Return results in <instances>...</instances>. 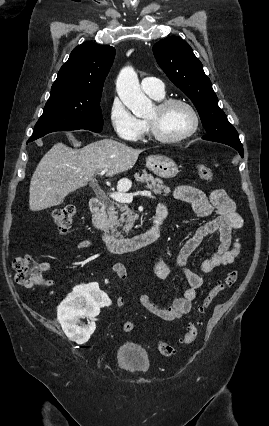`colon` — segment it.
Returning a JSON list of instances; mask_svg holds the SVG:
<instances>
[{"mask_svg": "<svg viewBox=\"0 0 269 426\" xmlns=\"http://www.w3.org/2000/svg\"><path fill=\"white\" fill-rule=\"evenodd\" d=\"M197 173L205 182H211L213 180V172L206 164H199L197 166ZM75 214L76 211L73 205H64L53 211V220L60 234H65L71 229L75 221ZM13 269L15 271V280L20 285L37 286L44 283L42 263L36 261L32 256L25 255L16 257L13 260ZM238 276L239 272L237 270H231L223 281L217 283L208 291L202 303L198 306L196 313L198 319L204 315L207 307L221 292L231 288L236 283ZM198 325L199 322H196L188 327L186 333L180 340L181 345L186 346L192 344L197 339ZM133 329V322L125 321L123 323V330L125 332H131ZM157 350L161 355L169 357L176 353L177 348L170 343L160 342L157 345Z\"/></svg>", "mask_w": 269, "mask_h": 426, "instance_id": "colon-1", "label": "colon"}]
</instances>
